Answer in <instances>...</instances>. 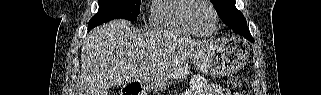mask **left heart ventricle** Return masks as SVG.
<instances>
[{
  "label": "left heart ventricle",
  "mask_w": 321,
  "mask_h": 95,
  "mask_svg": "<svg viewBox=\"0 0 321 95\" xmlns=\"http://www.w3.org/2000/svg\"><path fill=\"white\" fill-rule=\"evenodd\" d=\"M192 18L203 32H210L214 27L212 11L206 4H197L192 11Z\"/></svg>",
  "instance_id": "1"
}]
</instances>
